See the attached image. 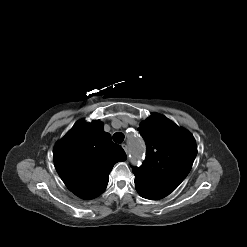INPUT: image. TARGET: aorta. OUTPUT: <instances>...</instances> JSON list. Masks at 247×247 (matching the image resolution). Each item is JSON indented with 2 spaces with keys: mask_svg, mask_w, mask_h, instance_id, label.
<instances>
[{
  "mask_svg": "<svg viewBox=\"0 0 247 247\" xmlns=\"http://www.w3.org/2000/svg\"><path fill=\"white\" fill-rule=\"evenodd\" d=\"M129 154L132 162H136L145 152L143 141L133 132L128 134Z\"/></svg>",
  "mask_w": 247,
  "mask_h": 247,
  "instance_id": "obj_1",
  "label": "aorta"
}]
</instances>
